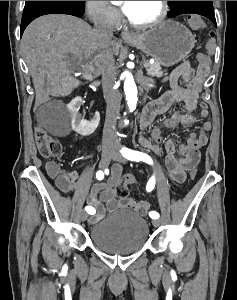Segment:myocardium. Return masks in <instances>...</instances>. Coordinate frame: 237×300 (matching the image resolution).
I'll return each mask as SVG.
<instances>
[{
    "label": "myocardium",
    "mask_w": 237,
    "mask_h": 300,
    "mask_svg": "<svg viewBox=\"0 0 237 300\" xmlns=\"http://www.w3.org/2000/svg\"><path fill=\"white\" fill-rule=\"evenodd\" d=\"M168 12H169L168 1H160V13L154 20L147 23H137L131 20L127 15H126V20L132 27L136 29L147 30L159 26L166 19Z\"/></svg>",
    "instance_id": "1"
}]
</instances>
